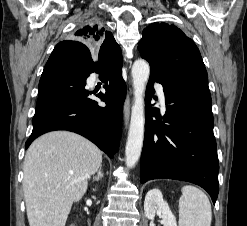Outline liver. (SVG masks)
<instances>
[{
	"mask_svg": "<svg viewBox=\"0 0 247 226\" xmlns=\"http://www.w3.org/2000/svg\"><path fill=\"white\" fill-rule=\"evenodd\" d=\"M101 163V151L78 134L54 131L36 139L23 167L29 225L65 226L73 202L83 197Z\"/></svg>",
	"mask_w": 247,
	"mask_h": 226,
	"instance_id": "obj_1",
	"label": "liver"
}]
</instances>
